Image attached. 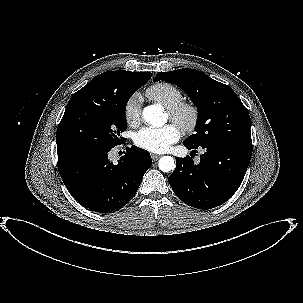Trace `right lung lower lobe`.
Masks as SVG:
<instances>
[{"label":"right lung lower lobe","instance_id":"1","mask_svg":"<svg viewBox=\"0 0 303 303\" xmlns=\"http://www.w3.org/2000/svg\"><path fill=\"white\" fill-rule=\"evenodd\" d=\"M112 148L57 151L61 178L72 196L90 210L106 213L120 209L136 194L151 166L148 151L132 146L113 164Z\"/></svg>","mask_w":303,"mask_h":303}]
</instances>
